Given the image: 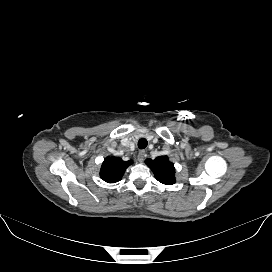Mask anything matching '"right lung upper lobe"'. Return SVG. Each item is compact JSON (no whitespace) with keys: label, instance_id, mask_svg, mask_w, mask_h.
Returning a JSON list of instances; mask_svg holds the SVG:
<instances>
[{"label":"right lung upper lobe","instance_id":"1","mask_svg":"<svg viewBox=\"0 0 272 272\" xmlns=\"http://www.w3.org/2000/svg\"><path fill=\"white\" fill-rule=\"evenodd\" d=\"M132 163L131 160L123 161L119 157H107L101 166L100 177L107 183L118 182Z\"/></svg>","mask_w":272,"mask_h":272}]
</instances>
